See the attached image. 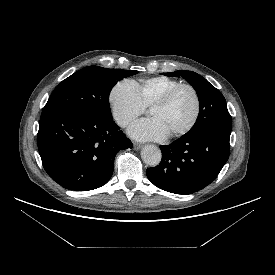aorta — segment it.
<instances>
[{"label": "aorta", "instance_id": "aorta-1", "mask_svg": "<svg viewBox=\"0 0 275 275\" xmlns=\"http://www.w3.org/2000/svg\"><path fill=\"white\" fill-rule=\"evenodd\" d=\"M141 157L147 165L155 167L160 163L162 155L160 149L157 146L146 145L141 151Z\"/></svg>", "mask_w": 275, "mask_h": 275}]
</instances>
